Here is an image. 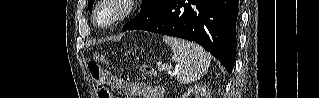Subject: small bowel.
I'll use <instances>...</instances> for the list:
<instances>
[{"label":"small bowel","instance_id":"small-bowel-1","mask_svg":"<svg viewBox=\"0 0 319 98\" xmlns=\"http://www.w3.org/2000/svg\"><path fill=\"white\" fill-rule=\"evenodd\" d=\"M107 82L113 88L122 91L127 97H163V90L161 87L152 86L143 82H129L117 76H108Z\"/></svg>","mask_w":319,"mask_h":98}]
</instances>
